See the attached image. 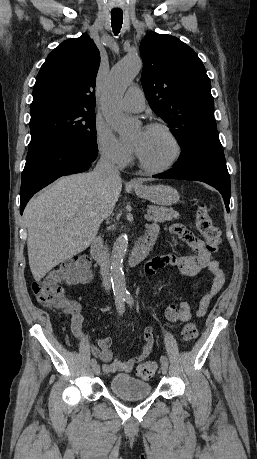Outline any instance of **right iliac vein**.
Instances as JSON below:
<instances>
[{"label":"right iliac vein","instance_id":"1","mask_svg":"<svg viewBox=\"0 0 257 459\" xmlns=\"http://www.w3.org/2000/svg\"><path fill=\"white\" fill-rule=\"evenodd\" d=\"M93 372L95 375H99L100 374V366L99 365H94L93 366Z\"/></svg>","mask_w":257,"mask_h":459}]
</instances>
